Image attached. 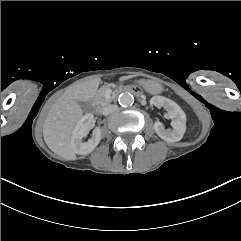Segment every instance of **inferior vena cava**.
I'll list each match as a JSON object with an SVG mask.
<instances>
[{
    "label": "inferior vena cava",
    "mask_w": 241,
    "mask_h": 241,
    "mask_svg": "<svg viewBox=\"0 0 241 241\" xmlns=\"http://www.w3.org/2000/svg\"><path fill=\"white\" fill-rule=\"evenodd\" d=\"M117 109V105H114V104H111V105H108L106 107L103 108L102 110V114L104 116H107L109 115L110 113H112L113 111H115Z\"/></svg>",
    "instance_id": "obj_1"
}]
</instances>
